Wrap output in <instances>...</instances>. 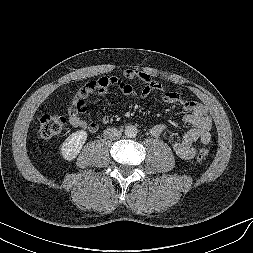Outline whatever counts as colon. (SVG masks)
Here are the masks:
<instances>
[{
  "mask_svg": "<svg viewBox=\"0 0 253 253\" xmlns=\"http://www.w3.org/2000/svg\"><path fill=\"white\" fill-rule=\"evenodd\" d=\"M39 135L43 140H48L60 135L66 129V119L61 115L41 112L39 114ZM208 156V150L201 148L198 150L196 159L202 162Z\"/></svg>",
  "mask_w": 253,
  "mask_h": 253,
  "instance_id": "obj_1",
  "label": "colon"
}]
</instances>
